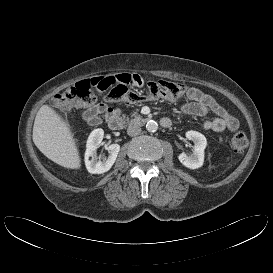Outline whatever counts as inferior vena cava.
<instances>
[{"label": "inferior vena cava", "mask_w": 273, "mask_h": 273, "mask_svg": "<svg viewBox=\"0 0 273 273\" xmlns=\"http://www.w3.org/2000/svg\"><path fill=\"white\" fill-rule=\"evenodd\" d=\"M141 133V128L137 125H129L127 129V134L129 136H137Z\"/></svg>", "instance_id": "602c4592"}]
</instances>
